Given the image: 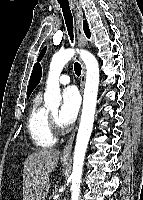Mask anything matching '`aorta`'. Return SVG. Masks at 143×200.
<instances>
[{"label":"aorta","mask_w":143,"mask_h":200,"mask_svg":"<svg viewBox=\"0 0 143 200\" xmlns=\"http://www.w3.org/2000/svg\"><path fill=\"white\" fill-rule=\"evenodd\" d=\"M86 67V82L83 96L81 121L77 133L73 154V168L71 174V200H79L80 185L83 173L88 142L93 128L94 115L99 87V64L93 54L86 50H76ZM74 49H65L55 53L50 63L44 102L48 108H58L61 102L59 77L63 67L72 59Z\"/></svg>","instance_id":"aorta-1"}]
</instances>
